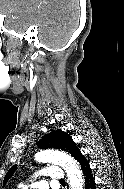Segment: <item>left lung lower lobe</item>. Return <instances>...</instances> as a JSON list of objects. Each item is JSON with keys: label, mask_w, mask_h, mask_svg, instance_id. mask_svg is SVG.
Wrapping results in <instances>:
<instances>
[{"label": "left lung lower lobe", "mask_w": 124, "mask_h": 189, "mask_svg": "<svg viewBox=\"0 0 124 189\" xmlns=\"http://www.w3.org/2000/svg\"><path fill=\"white\" fill-rule=\"evenodd\" d=\"M76 160L84 176L83 178H84L85 189H96L95 180L88 160L85 158V156L82 153L77 157Z\"/></svg>", "instance_id": "obj_1"}]
</instances>
